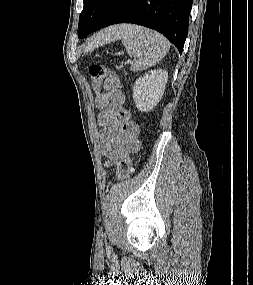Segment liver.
<instances>
[{
	"instance_id": "6515ba94",
	"label": "liver",
	"mask_w": 253,
	"mask_h": 285,
	"mask_svg": "<svg viewBox=\"0 0 253 285\" xmlns=\"http://www.w3.org/2000/svg\"><path fill=\"white\" fill-rule=\"evenodd\" d=\"M131 27H132L131 25H118V26L110 27L100 32L98 35H96L92 39V41L89 43L86 49L93 50L94 48L100 45H103L110 41H114L120 38L124 34V32H126Z\"/></svg>"
}]
</instances>
